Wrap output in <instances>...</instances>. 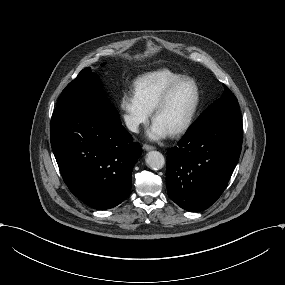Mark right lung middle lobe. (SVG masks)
Wrapping results in <instances>:
<instances>
[{"instance_id": "right-lung-middle-lobe-1", "label": "right lung middle lobe", "mask_w": 285, "mask_h": 285, "mask_svg": "<svg viewBox=\"0 0 285 285\" xmlns=\"http://www.w3.org/2000/svg\"><path fill=\"white\" fill-rule=\"evenodd\" d=\"M104 64H102V66ZM91 104L113 106L106 99L98 76L93 73L90 68H85L63 90L57 101L56 108Z\"/></svg>"}]
</instances>
